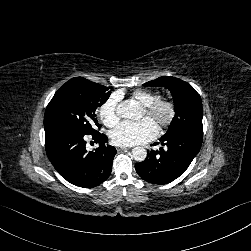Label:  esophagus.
I'll use <instances>...</instances> for the list:
<instances>
[{
    "label": "esophagus",
    "instance_id": "1",
    "mask_svg": "<svg viewBox=\"0 0 251 251\" xmlns=\"http://www.w3.org/2000/svg\"><path fill=\"white\" fill-rule=\"evenodd\" d=\"M126 149H127L126 147H122V146H117V147H116V150H117L118 152H121V151L126 150Z\"/></svg>",
    "mask_w": 251,
    "mask_h": 251
}]
</instances>
